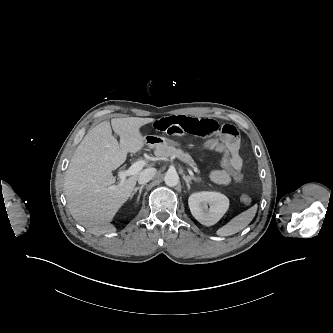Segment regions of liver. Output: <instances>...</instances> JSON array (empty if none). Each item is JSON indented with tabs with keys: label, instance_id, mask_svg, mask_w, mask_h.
Here are the masks:
<instances>
[{
	"label": "liver",
	"instance_id": "6515ba94",
	"mask_svg": "<svg viewBox=\"0 0 333 333\" xmlns=\"http://www.w3.org/2000/svg\"><path fill=\"white\" fill-rule=\"evenodd\" d=\"M154 120L112 119L119 143L112 135L110 123L101 122L89 130L76 148L65 174L64 193L72 217L91 234L99 236L116 231L110 222L131 196L140 172L123 184L114 185L116 178L112 171L125 162L127 153H136L144 147L146 141L140 128Z\"/></svg>",
	"mask_w": 333,
	"mask_h": 333
}]
</instances>
